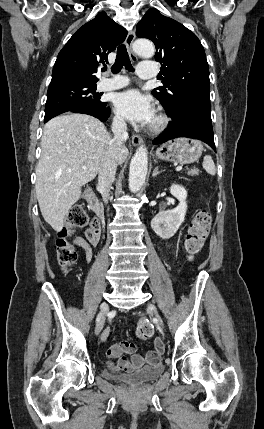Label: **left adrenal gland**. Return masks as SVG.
<instances>
[{
    "label": "left adrenal gland",
    "mask_w": 264,
    "mask_h": 429,
    "mask_svg": "<svg viewBox=\"0 0 264 429\" xmlns=\"http://www.w3.org/2000/svg\"><path fill=\"white\" fill-rule=\"evenodd\" d=\"M161 172H163V171L159 170L158 166H156L155 169H154V171H153V173H152V176L155 177L158 174H160Z\"/></svg>",
    "instance_id": "left-adrenal-gland-1"
}]
</instances>
